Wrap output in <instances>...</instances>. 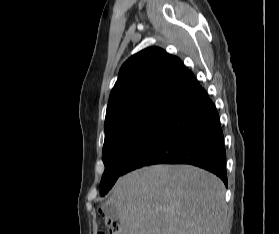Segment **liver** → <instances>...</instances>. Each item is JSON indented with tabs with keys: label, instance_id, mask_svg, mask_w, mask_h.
<instances>
[{
	"label": "liver",
	"instance_id": "6515ba94",
	"mask_svg": "<svg viewBox=\"0 0 279 234\" xmlns=\"http://www.w3.org/2000/svg\"><path fill=\"white\" fill-rule=\"evenodd\" d=\"M223 182L191 165H154L120 177L105 205L115 206L125 234H222Z\"/></svg>",
	"mask_w": 279,
	"mask_h": 234
}]
</instances>
